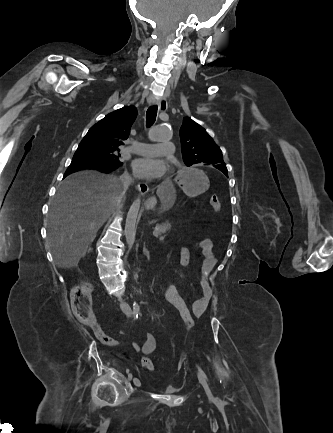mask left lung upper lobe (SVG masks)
<instances>
[{
	"label": "left lung upper lobe",
	"instance_id": "obj_1",
	"mask_svg": "<svg viewBox=\"0 0 333 433\" xmlns=\"http://www.w3.org/2000/svg\"><path fill=\"white\" fill-rule=\"evenodd\" d=\"M180 138L183 160L187 166L208 163L228 176L220 148L202 126L191 118L184 117Z\"/></svg>",
	"mask_w": 333,
	"mask_h": 433
}]
</instances>
